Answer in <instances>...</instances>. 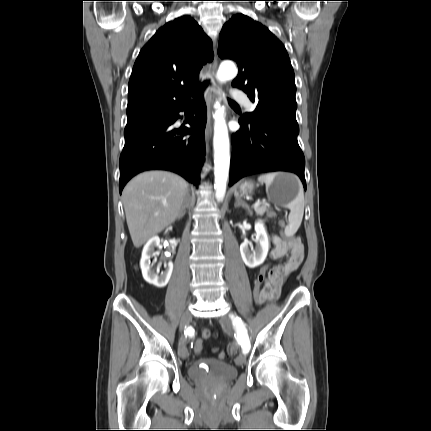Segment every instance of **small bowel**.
I'll return each instance as SVG.
<instances>
[{
    "mask_svg": "<svg viewBox=\"0 0 431 431\" xmlns=\"http://www.w3.org/2000/svg\"><path fill=\"white\" fill-rule=\"evenodd\" d=\"M272 242L274 247L270 252L271 259L287 257V260L283 264L271 268L266 266L268 271L265 273L266 278L258 304H264L277 299L285 280L298 269L304 258V247L299 239L295 238L286 241L274 235Z\"/></svg>",
    "mask_w": 431,
    "mask_h": 431,
    "instance_id": "small-bowel-1",
    "label": "small bowel"
}]
</instances>
